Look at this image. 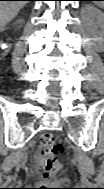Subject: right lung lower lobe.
<instances>
[{"instance_id": "1", "label": "right lung lower lobe", "mask_w": 104, "mask_h": 189, "mask_svg": "<svg viewBox=\"0 0 104 189\" xmlns=\"http://www.w3.org/2000/svg\"><path fill=\"white\" fill-rule=\"evenodd\" d=\"M21 1H34V0H21Z\"/></svg>"}]
</instances>
